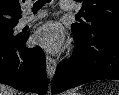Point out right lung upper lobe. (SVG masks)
<instances>
[{
  "label": "right lung upper lobe",
  "instance_id": "cb5924a9",
  "mask_svg": "<svg viewBox=\"0 0 119 95\" xmlns=\"http://www.w3.org/2000/svg\"><path fill=\"white\" fill-rule=\"evenodd\" d=\"M21 2V0H0V27L17 25L22 13Z\"/></svg>",
  "mask_w": 119,
  "mask_h": 95
}]
</instances>
